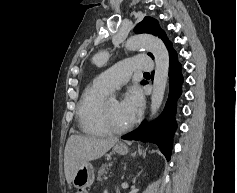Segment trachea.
Instances as JSON below:
<instances>
[{
  "mask_svg": "<svg viewBox=\"0 0 237 193\" xmlns=\"http://www.w3.org/2000/svg\"><path fill=\"white\" fill-rule=\"evenodd\" d=\"M144 75H150V73L149 72H145Z\"/></svg>",
  "mask_w": 237,
  "mask_h": 193,
  "instance_id": "1",
  "label": "trachea"
}]
</instances>
